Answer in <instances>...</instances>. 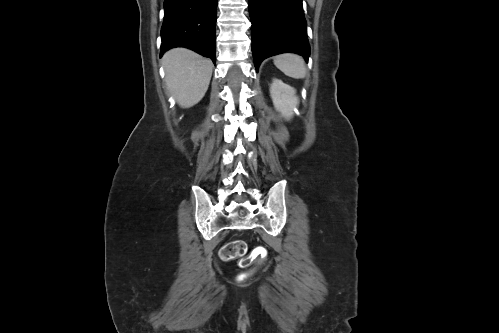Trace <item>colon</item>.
I'll return each mask as SVG.
<instances>
[{"label": "colon", "instance_id": "colon-1", "mask_svg": "<svg viewBox=\"0 0 499 333\" xmlns=\"http://www.w3.org/2000/svg\"><path fill=\"white\" fill-rule=\"evenodd\" d=\"M247 254V244L243 240H235L225 244L221 251L220 256L223 260L237 259L240 267H248L256 258H264L266 250L259 248L254 250L249 256Z\"/></svg>", "mask_w": 499, "mask_h": 333}]
</instances>
